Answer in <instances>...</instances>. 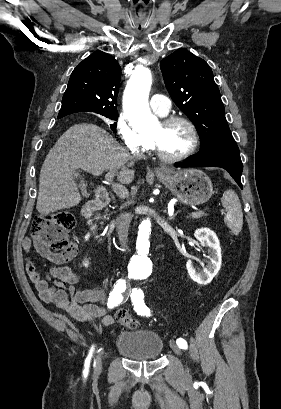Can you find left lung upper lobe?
Instances as JSON below:
<instances>
[{
    "instance_id": "5c2ea615",
    "label": "left lung upper lobe",
    "mask_w": 281,
    "mask_h": 409,
    "mask_svg": "<svg viewBox=\"0 0 281 409\" xmlns=\"http://www.w3.org/2000/svg\"><path fill=\"white\" fill-rule=\"evenodd\" d=\"M160 67L171 98L197 129L199 152H239L210 66L181 48L164 58Z\"/></svg>"
}]
</instances>
